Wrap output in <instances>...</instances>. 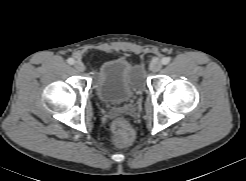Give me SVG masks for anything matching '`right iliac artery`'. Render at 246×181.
<instances>
[{
	"label": "right iliac artery",
	"instance_id": "obj_1",
	"mask_svg": "<svg viewBox=\"0 0 246 181\" xmlns=\"http://www.w3.org/2000/svg\"><path fill=\"white\" fill-rule=\"evenodd\" d=\"M67 63L73 65L75 63V60L73 58H68Z\"/></svg>",
	"mask_w": 246,
	"mask_h": 181
}]
</instances>
